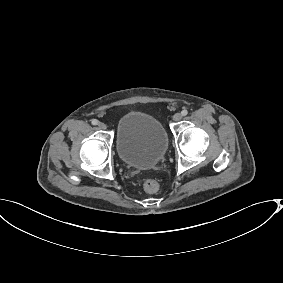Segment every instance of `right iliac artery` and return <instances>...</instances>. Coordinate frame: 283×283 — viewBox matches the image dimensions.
Returning <instances> with one entry per match:
<instances>
[{
	"label": "right iliac artery",
	"instance_id": "obj_1",
	"mask_svg": "<svg viewBox=\"0 0 283 283\" xmlns=\"http://www.w3.org/2000/svg\"><path fill=\"white\" fill-rule=\"evenodd\" d=\"M92 124H93V125H97V124H98V120H97V119H93V120H92Z\"/></svg>",
	"mask_w": 283,
	"mask_h": 283
}]
</instances>
